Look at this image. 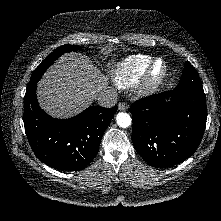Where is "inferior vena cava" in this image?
<instances>
[{"label":"inferior vena cava","mask_w":221,"mask_h":221,"mask_svg":"<svg viewBox=\"0 0 221 221\" xmlns=\"http://www.w3.org/2000/svg\"><path fill=\"white\" fill-rule=\"evenodd\" d=\"M117 92L112 87L101 90L95 97L98 104L103 107H113L117 103Z\"/></svg>","instance_id":"1"}]
</instances>
